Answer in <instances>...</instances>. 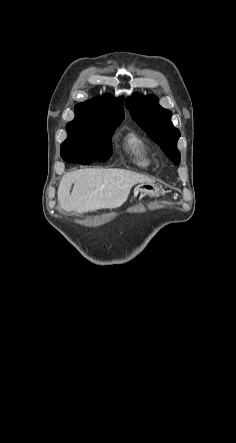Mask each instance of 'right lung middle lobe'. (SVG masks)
<instances>
[{"label": "right lung middle lobe", "mask_w": 236, "mask_h": 443, "mask_svg": "<svg viewBox=\"0 0 236 443\" xmlns=\"http://www.w3.org/2000/svg\"><path fill=\"white\" fill-rule=\"evenodd\" d=\"M122 120L105 117H76L67 124V139L61 149L69 146L112 148L111 136Z\"/></svg>", "instance_id": "right-lung-middle-lobe-1"}]
</instances>
